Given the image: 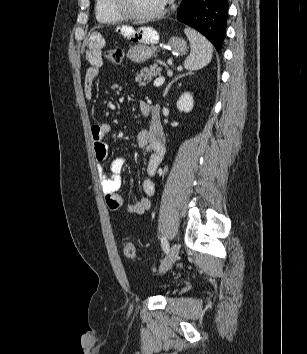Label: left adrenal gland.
Listing matches in <instances>:
<instances>
[{
  "label": "left adrenal gland",
  "mask_w": 307,
  "mask_h": 354,
  "mask_svg": "<svg viewBox=\"0 0 307 354\" xmlns=\"http://www.w3.org/2000/svg\"><path fill=\"white\" fill-rule=\"evenodd\" d=\"M191 74H192V73L189 72V73L180 75V76L176 77L175 79H173V80L167 85V87L165 88L164 93H163V97H165V96L167 95V93H168V91L170 90V88H171V86L173 85V83H175L177 80H179V79H181V78H183V77H185V76H187V75H191Z\"/></svg>",
  "instance_id": "left-adrenal-gland-1"
}]
</instances>
